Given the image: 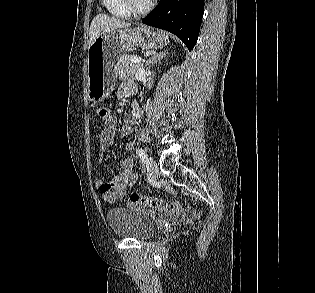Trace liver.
Listing matches in <instances>:
<instances>
[{
  "instance_id": "6515ba94",
  "label": "liver",
  "mask_w": 315,
  "mask_h": 293,
  "mask_svg": "<svg viewBox=\"0 0 315 293\" xmlns=\"http://www.w3.org/2000/svg\"><path fill=\"white\" fill-rule=\"evenodd\" d=\"M131 23H127L115 17H110L106 14H98L91 22L89 30V46L92 45L96 37L100 34H105L114 29H127Z\"/></svg>"
}]
</instances>
